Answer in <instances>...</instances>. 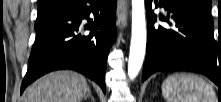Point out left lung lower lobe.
I'll use <instances>...</instances> for the list:
<instances>
[{"instance_id":"0a47b994","label":"left lung lower lobe","mask_w":221,"mask_h":102,"mask_svg":"<svg viewBox=\"0 0 221 102\" xmlns=\"http://www.w3.org/2000/svg\"><path fill=\"white\" fill-rule=\"evenodd\" d=\"M152 2L145 1L147 57L142 80L159 71H193L206 75L221 88V51L214 39L211 16L188 0H155V7H164L176 27L165 29L154 26Z\"/></svg>"}]
</instances>
